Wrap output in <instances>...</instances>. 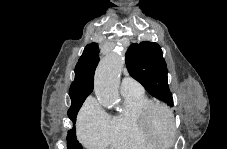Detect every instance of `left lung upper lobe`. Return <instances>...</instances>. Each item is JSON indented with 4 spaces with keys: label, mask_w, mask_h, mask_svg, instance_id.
<instances>
[{
    "label": "left lung upper lobe",
    "mask_w": 227,
    "mask_h": 149,
    "mask_svg": "<svg viewBox=\"0 0 227 149\" xmlns=\"http://www.w3.org/2000/svg\"><path fill=\"white\" fill-rule=\"evenodd\" d=\"M126 65L130 75L150 94L173 106L167 66L158 44L149 41L132 44L126 53Z\"/></svg>",
    "instance_id": "left-lung-upper-lobe-1"
}]
</instances>
